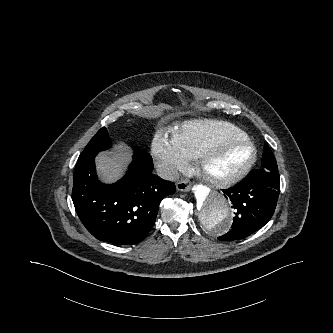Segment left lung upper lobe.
Returning <instances> with one entry per match:
<instances>
[{
  "mask_svg": "<svg viewBox=\"0 0 333 333\" xmlns=\"http://www.w3.org/2000/svg\"><path fill=\"white\" fill-rule=\"evenodd\" d=\"M256 174L260 176H279L278 167L274 155L271 153H263L261 166L256 170Z\"/></svg>",
  "mask_w": 333,
  "mask_h": 333,
  "instance_id": "1",
  "label": "left lung upper lobe"
}]
</instances>
